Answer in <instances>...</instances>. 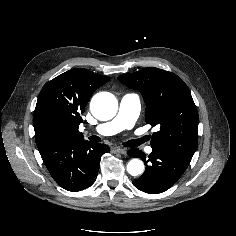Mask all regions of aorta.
<instances>
[{
    "mask_svg": "<svg viewBox=\"0 0 236 236\" xmlns=\"http://www.w3.org/2000/svg\"><path fill=\"white\" fill-rule=\"evenodd\" d=\"M92 114L99 120H109L113 118L118 110V102L115 96L108 92H101L91 100ZM127 171L132 176H138L144 171V164L139 159H132L127 164Z\"/></svg>",
    "mask_w": 236,
    "mask_h": 236,
    "instance_id": "aorta-1",
    "label": "aorta"
}]
</instances>
